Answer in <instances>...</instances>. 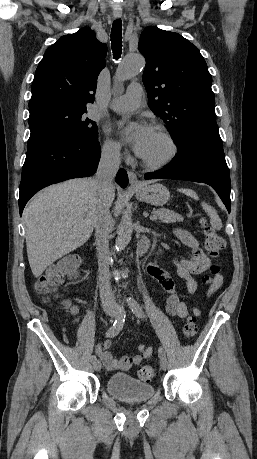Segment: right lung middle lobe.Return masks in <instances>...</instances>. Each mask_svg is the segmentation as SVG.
Returning a JSON list of instances; mask_svg holds the SVG:
<instances>
[{
    "instance_id": "dd1d6c3e",
    "label": "right lung middle lobe",
    "mask_w": 257,
    "mask_h": 459,
    "mask_svg": "<svg viewBox=\"0 0 257 459\" xmlns=\"http://www.w3.org/2000/svg\"><path fill=\"white\" fill-rule=\"evenodd\" d=\"M86 107L49 106L30 112L31 132L49 130L74 138L95 139L98 137L95 122L87 118Z\"/></svg>"
}]
</instances>
